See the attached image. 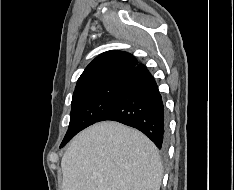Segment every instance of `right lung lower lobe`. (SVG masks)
<instances>
[{"label":"right lung lower lobe","instance_id":"98d812e1","mask_svg":"<svg viewBox=\"0 0 234 190\" xmlns=\"http://www.w3.org/2000/svg\"><path fill=\"white\" fill-rule=\"evenodd\" d=\"M105 120L134 127L159 149H165L167 121L162 97L153 76L143 64H138L125 77L115 102L99 121Z\"/></svg>","mask_w":234,"mask_h":190}]
</instances>
